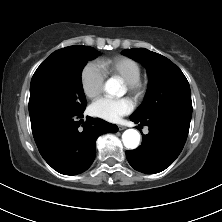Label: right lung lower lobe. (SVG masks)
<instances>
[{
  "mask_svg": "<svg viewBox=\"0 0 222 222\" xmlns=\"http://www.w3.org/2000/svg\"><path fill=\"white\" fill-rule=\"evenodd\" d=\"M82 113H47L31 120L34 140L44 160L57 172L76 175L87 170L96 156V139L118 131L116 125Z\"/></svg>",
  "mask_w": 222,
  "mask_h": 222,
  "instance_id": "obj_1",
  "label": "right lung lower lobe"
}]
</instances>
